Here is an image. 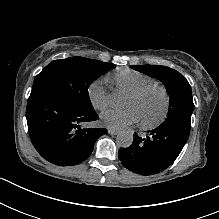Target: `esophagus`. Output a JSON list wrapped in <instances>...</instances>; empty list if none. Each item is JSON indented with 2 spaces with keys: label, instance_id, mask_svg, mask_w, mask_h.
I'll return each mask as SVG.
<instances>
[{
  "label": "esophagus",
  "instance_id": "esophagus-1",
  "mask_svg": "<svg viewBox=\"0 0 219 219\" xmlns=\"http://www.w3.org/2000/svg\"><path fill=\"white\" fill-rule=\"evenodd\" d=\"M108 133L111 134V135H117V134H119V131L118 130H114V129H109Z\"/></svg>",
  "mask_w": 219,
  "mask_h": 219
}]
</instances>
